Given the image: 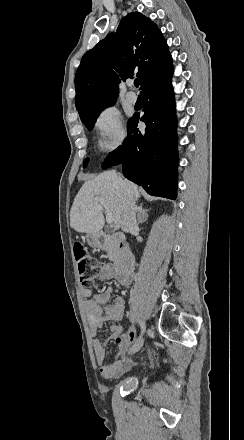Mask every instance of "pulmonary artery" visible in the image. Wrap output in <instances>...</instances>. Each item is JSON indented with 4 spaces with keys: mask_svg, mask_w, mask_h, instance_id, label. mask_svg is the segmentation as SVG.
<instances>
[{
    "mask_svg": "<svg viewBox=\"0 0 244 440\" xmlns=\"http://www.w3.org/2000/svg\"><path fill=\"white\" fill-rule=\"evenodd\" d=\"M126 99H127V101L130 102V103H135L136 100H137V96H136V94L133 93V92H128L127 95H126Z\"/></svg>",
    "mask_w": 244,
    "mask_h": 440,
    "instance_id": "1",
    "label": "pulmonary artery"
}]
</instances>
